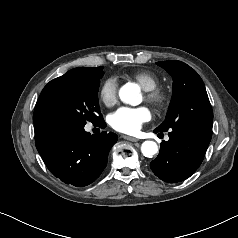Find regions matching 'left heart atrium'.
I'll list each match as a JSON object with an SVG mask.
<instances>
[{
  "instance_id": "1",
  "label": "left heart atrium",
  "mask_w": 238,
  "mask_h": 238,
  "mask_svg": "<svg viewBox=\"0 0 238 238\" xmlns=\"http://www.w3.org/2000/svg\"><path fill=\"white\" fill-rule=\"evenodd\" d=\"M151 111L146 106L136 108L122 107L110 117L111 126L119 132L126 134L136 133L143 123L151 119Z\"/></svg>"
}]
</instances>
